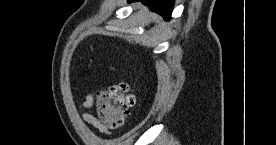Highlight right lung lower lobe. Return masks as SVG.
<instances>
[{
	"label": "right lung lower lobe",
	"mask_w": 276,
	"mask_h": 145,
	"mask_svg": "<svg viewBox=\"0 0 276 145\" xmlns=\"http://www.w3.org/2000/svg\"><path fill=\"white\" fill-rule=\"evenodd\" d=\"M142 1L148 5L152 11L159 13L166 20H170L174 0H128V2Z\"/></svg>",
	"instance_id": "1"
}]
</instances>
